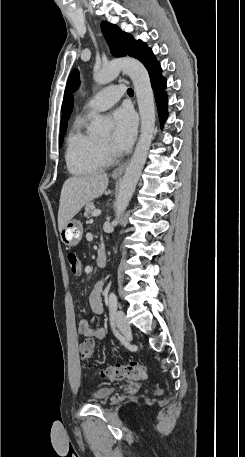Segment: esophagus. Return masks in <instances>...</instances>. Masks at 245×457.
<instances>
[{"label":"esophagus","mask_w":245,"mask_h":457,"mask_svg":"<svg viewBox=\"0 0 245 457\" xmlns=\"http://www.w3.org/2000/svg\"><path fill=\"white\" fill-rule=\"evenodd\" d=\"M127 166V162L123 163L122 165H120L119 167H117L113 172H112V176H121L125 170Z\"/></svg>","instance_id":"34e87169"}]
</instances>
